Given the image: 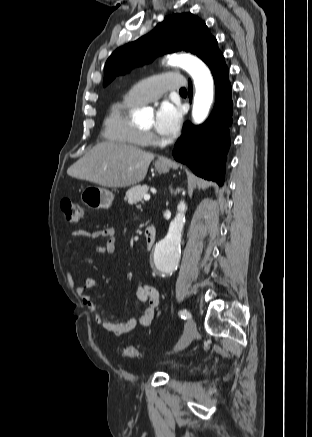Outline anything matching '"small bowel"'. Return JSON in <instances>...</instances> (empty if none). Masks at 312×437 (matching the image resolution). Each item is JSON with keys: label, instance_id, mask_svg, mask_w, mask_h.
<instances>
[{"label": "small bowel", "instance_id": "obj_1", "mask_svg": "<svg viewBox=\"0 0 312 437\" xmlns=\"http://www.w3.org/2000/svg\"><path fill=\"white\" fill-rule=\"evenodd\" d=\"M71 236L72 239L70 243L83 239H106L105 244L98 248V250L102 252L112 253L116 248V230L112 226L104 227L95 231L77 230L73 231ZM97 286L98 281L93 277H88L85 280L84 286H77L75 289L83 304L94 314L96 322L106 331L116 336H121L133 330L137 325L148 327L152 324L160 300L158 290L154 286L150 284H141L137 287L136 297L139 301L146 304L145 309L138 317H130L122 322L115 321L116 314L108 313L107 317H105L100 311L91 294V291Z\"/></svg>", "mask_w": 312, "mask_h": 437}]
</instances>
